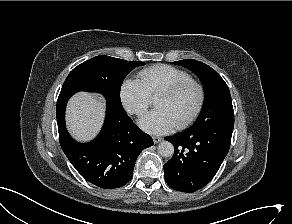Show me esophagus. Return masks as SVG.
Here are the masks:
<instances>
[{
  "instance_id": "obj_1",
  "label": "esophagus",
  "mask_w": 292,
  "mask_h": 224,
  "mask_svg": "<svg viewBox=\"0 0 292 224\" xmlns=\"http://www.w3.org/2000/svg\"><path fill=\"white\" fill-rule=\"evenodd\" d=\"M152 138H153V141L155 144H157L163 140L162 137H158V136H153Z\"/></svg>"
}]
</instances>
